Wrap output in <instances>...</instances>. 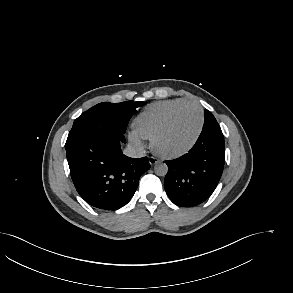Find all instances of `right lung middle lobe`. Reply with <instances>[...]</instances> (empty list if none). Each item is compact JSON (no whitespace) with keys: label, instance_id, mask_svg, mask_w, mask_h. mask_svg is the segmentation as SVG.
I'll use <instances>...</instances> for the list:
<instances>
[{"label":"right lung middle lobe","instance_id":"1","mask_svg":"<svg viewBox=\"0 0 293 293\" xmlns=\"http://www.w3.org/2000/svg\"><path fill=\"white\" fill-rule=\"evenodd\" d=\"M141 104V101H125L95 105L74 121L65 148L102 131L125 133L130 118Z\"/></svg>","mask_w":293,"mask_h":293}]
</instances>
